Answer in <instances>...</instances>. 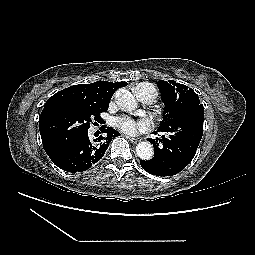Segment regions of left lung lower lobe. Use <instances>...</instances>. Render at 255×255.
I'll return each mask as SVG.
<instances>
[{"label": "left lung lower lobe", "mask_w": 255, "mask_h": 255, "mask_svg": "<svg viewBox=\"0 0 255 255\" xmlns=\"http://www.w3.org/2000/svg\"><path fill=\"white\" fill-rule=\"evenodd\" d=\"M204 109L196 112L189 123L184 119L168 127H159L160 136L148 141L155 148V155L149 161H140L142 168L156 176H173L182 171L193 159L203 135ZM155 132V134L157 133Z\"/></svg>", "instance_id": "1"}]
</instances>
